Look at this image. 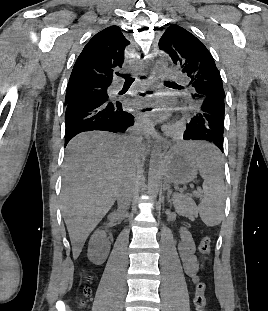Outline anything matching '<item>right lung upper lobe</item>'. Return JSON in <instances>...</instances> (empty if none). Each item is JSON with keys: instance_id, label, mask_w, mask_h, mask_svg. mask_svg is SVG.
Returning <instances> with one entry per match:
<instances>
[{"instance_id": "right-lung-upper-lobe-1", "label": "right lung upper lobe", "mask_w": 268, "mask_h": 311, "mask_svg": "<svg viewBox=\"0 0 268 311\" xmlns=\"http://www.w3.org/2000/svg\"><path fill=\"white\" fill-rule=\"evenodd\" d=\"M129 44L118 26L94 35L76 60L67 88L80 84L109 87L115 70L122 67Z\"/></svg>"}]
</instances>
